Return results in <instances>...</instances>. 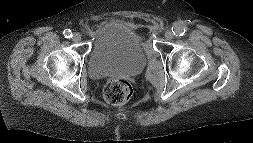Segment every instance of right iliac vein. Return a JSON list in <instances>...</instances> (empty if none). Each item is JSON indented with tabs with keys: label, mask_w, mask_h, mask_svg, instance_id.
Listing matches in <instances>:
<instances>
[{
	"label": "right iliac vein",
	"mask_w": 253,
	"mask_h": 143,
	"mask_svg": "<svg viewBox=\"0 0 253 143\" xmlns=\"http://www.w3.org/2000/svg\"><path fill=\"white\" fill-rule=\"evenodd\" d=\"M82 39V35L79 33V32H75L73 35H72V40L74 42H80Z\"/></svg>",
	"instance_id": "obj_1"
}]
</instances>
